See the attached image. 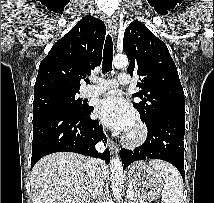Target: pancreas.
<instances>
[{"instance_id":"pancreas-1","label":"pancreas","mask_w":214,"mask_h":203,"mask_svg":"<svg viewBox=\"0 0 214 203\" xmlns=\"http://www.w3.org/2000/svg\"><path fill=\"white\" fill-rule=\"evenodd\" d=\"M130 203H137L135 199V195L133 196V199L130 201Z\"/></svg>"}]
</instances>
